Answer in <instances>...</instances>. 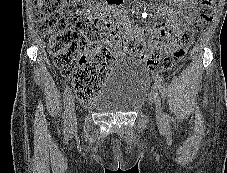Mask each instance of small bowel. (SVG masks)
Returning a JSON list of instances; mask_svg holds the SVG:
<instances>
[{"instance_id":"c3829d8e","label":"small bowel","mask_w":227,"mask_h":173,"mask_svg":"<svg viewBox=\"0 0 227 173\" xmlns=\"http://www.w3.org/2000/svg\"><path fill=\"white\" fill-rule=\"evenodd\" d=\"M174 5H160L156 10V15L166 20L164 24L158 27H139L131 24L126 16L117 15L118 31L116 41L112 45V52L115 56L122 57L133 55L129 48V41L133 38H142L147 34H156L166 38V47H172L178 38L184 33L185 25H191L194 22L197 0H168ZM123 2L121 0L118 6Z\"/></svg>"}]
</instances>
